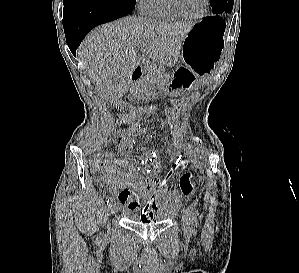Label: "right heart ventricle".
<instances>
[{
  "label": "right heart ventricle",
  "instance_id": "right-heart-ventricle-1",
  "mask_svg": "<svg viewBox=\"0 0 299 273\" xmlns=\"http://www.w3.org/2000/svg\"><path fill=\"white\" fill-rule=\"evenodd\" d=\"M143 14L158 20H175L182 17L174 10L169 0H148Z\"/></svg>",
  "mask_w": 299,
  "mask_h": 273
}]
</instances>
